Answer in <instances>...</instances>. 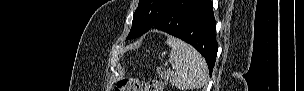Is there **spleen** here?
Wrapping results in <instances>:
<instances>
[{
  "label": "spleen",
  "mask_w": 304,
  "mask_h": 91,
  "mask_svg": "<svg viewBox=\"0 0 304 91\" xmlns=\"http://www.w3.org/2000/svg\"><path fill=\"white\" fill-rule=\"evenodd\" d=\"M166 43L172 48L169 62L175 72L167 71V77L180 90L199 88L207 79V64L199 52L184 41L169 37Z\"/></svg>",
  "instance_id": "1"
}]
</instances>
